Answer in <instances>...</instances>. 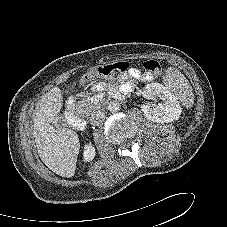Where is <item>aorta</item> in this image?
<instances>
[{
  "mask_svg": "<svg viewBox=\"0 0 227 227\" xmlns=\"http://www.w3.org/2000/svg\"><path fill=\"white\" fill-rule=\"evenodd\" d=\"M108 110L112 113L118 112L120 110V104L117 101H111L108 104Z\"/></svg>",
  "mask_w": 227,
  "mask_h": 227,
  "instance_id": "obj_1",
  "label": "aorta"
}]
</instances>
